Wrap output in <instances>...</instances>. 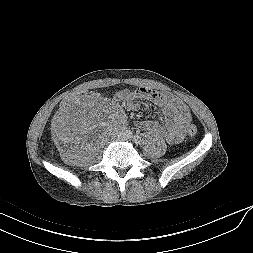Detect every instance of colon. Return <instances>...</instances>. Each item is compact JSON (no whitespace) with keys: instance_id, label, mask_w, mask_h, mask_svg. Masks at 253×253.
<instances>
[{"instance_id":"colon-1","label":"colon","mask_w":253,"mask_h":253,"mask_svg":"<svg viewBox=\"0 0 253 253\" xmlns=\"http://www.w3.org/2000/svg\"><path fill=\"white\" fill-rule=\"evenodd\" d=\"M93 91H77L71 94H68L64 101L60 102V108L66 109L73 101H76L79 98H93ZM187 134L189 136H195L197 134V127L195 125H190L187 128Z\"/></svg>"}]
</instances>
